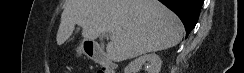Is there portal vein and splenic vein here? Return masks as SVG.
<instances>
[{"mask_svg": "<svg viewBox=\"0 0 244 73\" xmlns=\"http://www.w3.org/2000/svg\"><path fill=\"white\" fill-rule=\"evenodd\" d=\"M110 38H111V39H114V38H115V35L111 34V35H110Z\"/></svg>", "mask_w": 244, "mask_h": 73, "instance_id": "1", "label": "portal vein and splenic vein"}]
</instances>
